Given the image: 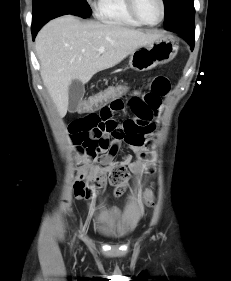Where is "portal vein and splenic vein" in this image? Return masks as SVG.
Segmentation results:
<instances>
[{"label":"portal vein and splenic vein","instance_id":"portal-vein-and-splenic-vein-1","mask_svg":"<svg viewBox=\"0 0 231 281\" xmlns=\"http://www.w3.org/2000/svg\"><path fill=\"white\" fill-rule=\"evenodd\" d=\"M105 51V48L104 47H100L99 49H98V52L99 53H103Z\"/></svg>","mask_w":231,"mask_h":281}]
</instances>
